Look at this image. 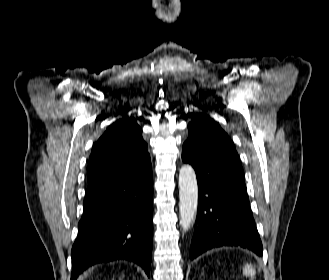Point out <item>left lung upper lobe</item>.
Masks as SVG:
<instances>
[{"label": "left lung upper lobe", "instance_id": "1", "mask_svg": "<svg viewBox=\"0 0 329 280\" xmlns=\"http://www.w3.org/2000/svg\"><path fill=\"white\" fill-rule=\"evenodd\" d=\"M188 129L189 137L183 145L182 159L194 167L202 184L226 186L225 176L229 170L243 175L232 141L214 120L197 114Z\"/></svg>", "mask_w": 329, "mask_h": 280}]
</instances>
